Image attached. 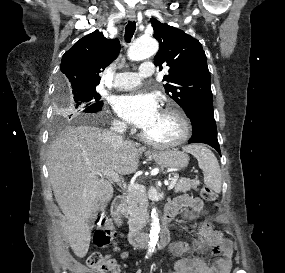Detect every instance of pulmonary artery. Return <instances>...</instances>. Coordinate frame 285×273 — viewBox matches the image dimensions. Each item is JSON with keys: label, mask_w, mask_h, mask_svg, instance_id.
Instances as JSON below:
<instances>
[{"label": "pulmonary artery", "mask_w": 285, "mask_h": 273, "mask_svg": "<svg viewBox=\"0 0 285 273\" xmlns=\"http://www.w3.org/2000/svg\"><path fill=\"white\" fill-rule=\"evenodd\" d=\"M154 73L153 62H144L140 65L138 72H121L115 74L113 87L119 90L134 88L140 84L142 78L152 76Z\"/></svg>", "instance_id": "obj_1"}]
</instances>
